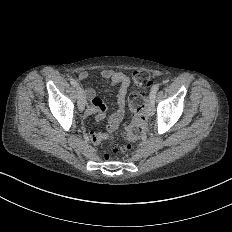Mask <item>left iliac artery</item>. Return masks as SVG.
I'll use <instances>...</instances> for the list:
<instances>
[{
    "label": "left iliac artery",
    "instance_id": "obj_1",
    "mask_svg": "<svg viewBox=\"0 0 232 232\" xmlns=\"http://www.w3.org/2000/svg\"><path fill=\"white\" fill-rule=\"evenodd\" d=\"M160 87V84L153 85L150 91V98H154L158 89Z\"/></svg>",
    "mask_w": 232,
    "mask_h": 232
}]
</instances>
